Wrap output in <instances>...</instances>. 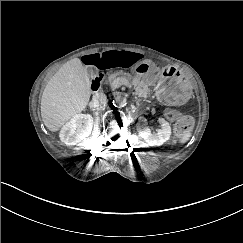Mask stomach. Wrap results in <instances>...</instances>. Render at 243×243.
Here are the masks:
<instances>
[{"label":"stomach","mask_w":243,"mask_h":243,"mask_svg":"<svg viewBox=\"0 0 243 243\" xmlns=\"http://www.w3.org/2000/svg\"><path fill=\"white\" fill-rule=\"evenodd\" d=\"M135 74L147 86H154L157 98L166 105H182L191 97L189 80L174 67L158 69L144 61L136 66Z\"/></svg>","instance_id":"stomach-1"}]
</instances>
